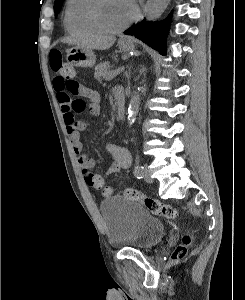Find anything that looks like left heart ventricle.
<instances>
[{"mask_svg": "<svg viewBox=\"0 0 245 300\" xmlns=\"http://www.w3.org/2000/svg\"><path fill=\"white\" fill-rule=\"evenodd\" d=\"M97 13L104 26L115 28L127 22L134 11L127 0H101Z\"/></svg>", "mask_w": 245, "mask_h": 300, "instance_id": "1", "label": "left heart ventricle"}]
</instances>
